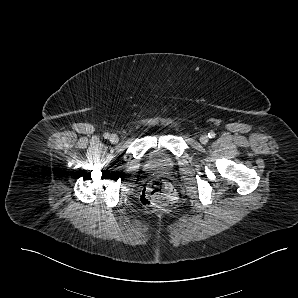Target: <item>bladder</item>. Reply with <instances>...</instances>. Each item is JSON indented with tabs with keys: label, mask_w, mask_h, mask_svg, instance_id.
<instances>
[{
	"label": "bladder",
	"mask_w": 298,
	"mask_h": 298,
	"mask_svg": "<svg viewBox=\"0 0 298 298\" xmlns=\"http://www.w3.org/2000/svg\"><path fill=\"white\" fill-rule=\"evenodd\" d=\"M176 165L175 158L161 147L150 148L144 156V168L148 172L169 174Z\"/></svg>",
	"instance_id": "1"
}]
</instances>
